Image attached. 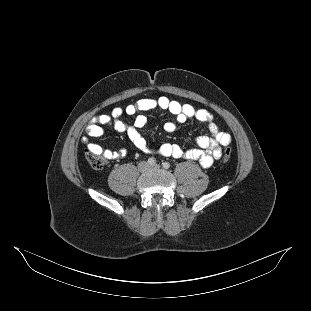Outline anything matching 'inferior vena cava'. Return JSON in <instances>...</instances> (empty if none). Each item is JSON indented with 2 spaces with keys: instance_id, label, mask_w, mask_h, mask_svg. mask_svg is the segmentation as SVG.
Here are the masks:
<instances>
[{
  "instance_id": "inferior-vena-cava-1",
  "label": "inferior vena cava",
  "mask_w": 311,
  "mask_h": 311,
  "mask_svg": "<svg viewBox=\"0 0 311 311\" xmlns=\"http://www.w3.org/2000/svg\"><path fill=\"white\" fill-rule=\"evenodd\" d=\"M138 167H139L141 170H144V169L147 167V164H146L144 161H141V162L138 164Z\"/></svg>"
}]
</instances>
